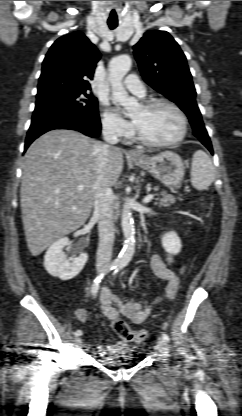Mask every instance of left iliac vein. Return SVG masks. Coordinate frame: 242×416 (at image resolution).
<instances>
[{"instance_id": "left-iliac-vein-1", "label": "left iliac vein", "mask_w": 242, "mask_h": 416, "mask_svg": "<svg viewBox=\"0 0 242 416\" xmlns=\"http://www.w3.org/2000/svg\"><path fill=\"white\" fill-rule=\"evenodd\" d=\"M157 349L161 352H167L168 347L163 338H158L157 340Z\"/></svg>"}]
</instances>
